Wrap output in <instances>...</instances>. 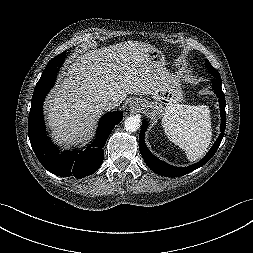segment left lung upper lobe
Returning a JSON list of instances; mask_svg holds the SVG:
<instances>
[{
	"label": "left lung upper lobe",
	"instance_id": "left-lung-upper-lobe-1",
	"mask_svg": "<svg viewBox=\"0 0 253 253\" xmlns=\"http://www.w3.org/2000/svg\"><path fill=\"white\" fill-rule=\"evenodd\" d=\"M206 67H207L208 71H210L211 73H213V72L218 73V71L208 61H206Z\"/></svg>",
	"mask_w": 253,
	"mask_h": 253
}]
</instances>
